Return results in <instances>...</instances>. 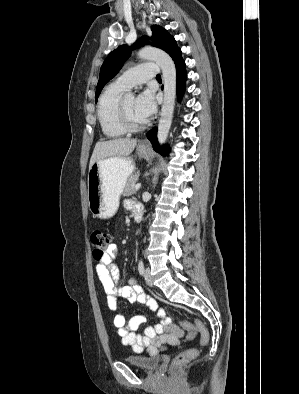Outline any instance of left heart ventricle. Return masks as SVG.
Wrapping results in <instances>:
<instances>
[{
    "instance_id": "b2bd125f",
    "label": "left heart ventricle",
    "mask_w": 299,
    "mask_h": 394,
    "mask_svg": "<svg viewBox=\"0 0 299 394\" xmlns=\"http://www.w3.org/2000/svg\"><path fill=\"white\" fill-rule=\"evenodd\" d=\"M124 104H125L127 115L131 120V122L135 124L142 123L143 120L138 116V114L135 111V99L133 97H126Z\"/></svg>"
}]
</instances>
